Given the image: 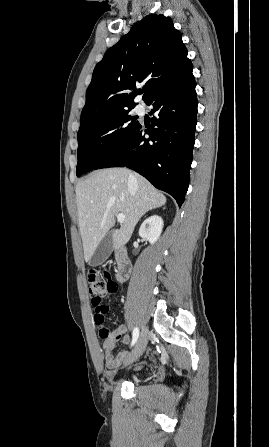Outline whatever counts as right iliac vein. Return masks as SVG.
<instances>
[{
	"mask_svg": "<svg viewBox=\"0 0 269 447\" xmlns=\"http://www.w3.org/2000/svg\"><path fill=\"white\" fill-rule=\"evenodd\" d=\"M148 341V329L143 327L142 332L136 341V345L125 359V364H130L136 361L144 352Z\"/></svg>",
	"mask_w": 269,
	"mask_h": 447,
	"instance_id": "right-iliac-vein-1",
	"label": "right iliac vein"
}]
</instances>
